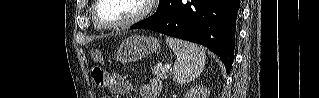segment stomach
I'll return each instance as SVG.
<instances>
[{
    "label": "stomach",
    "mask_w": 319,
    "mask_h": 98,
    "mask_svg": "<svg viewBox=\"0 0 319 98\" xmlns=\"http://www.w3.org/2000/svg\"><path fill=\"white\" fill-rule=\"evenodd\" d=\"M159 46V41L154 37L130 36L119 47L117 60L122 63L136 61L156 52Z\"/></svg>",
    "instance_id": "0dacf381"
}]
</instances>
